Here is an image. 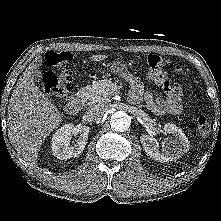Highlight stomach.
I'll use <instances>...</instances> for the list:
<instances>
[{"instance_id": "1", "label": "stomach", "mask_w": 221, "mask_h": 221, "mask_svg": "<svg viewBox=\"0 0 221 221\" xmlns=\"http://www.w3.org/2000/svg\"><path fill=\"white\" fill-rule=\"evenodd\" d=\"M127 62L124 60H115L111 64L112 72L117 75H122L127 69Z\"/></svg>"}]
</instances>
